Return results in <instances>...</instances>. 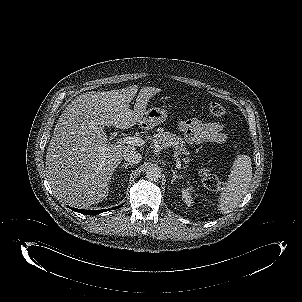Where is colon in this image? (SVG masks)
<instances>
[{
    "mask_svg": "<svg viewBox=\"0 0 302 302\" xmlns=\"http://www.w3.org/2000/svg\"><path fill=\"white\" fill-rule=\"evenodd\" d=\"M209 112L213 117H222L226 113L224 105L218 102H212L209 106ZM201 176L204 185L210 190H217L221 187L219 179L211 172L208 167H203Z\"/></svg>",
    "mask_w": 302,
    "mask_h": 302,
    "instance_id": "obj_1",
    "label": "colon"
}]
</instances>
